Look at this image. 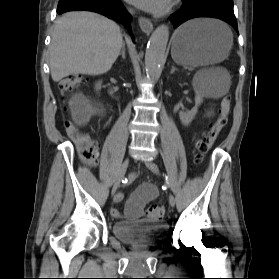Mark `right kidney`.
Segmentation results:
<instances>
[{
  "label": "right kidney",
  "mask_w": 279,
  "mask_h": 279,
  "mask_svg": "<svg viewBox=\"0 0 279 279\" xmlns=\"http://www.w3.org/2000/svg\"><path fill=\"white\" fill-rule=\"evenodd\" d=\"M101 84H102V81H98L96 84H95V90L98 92L101 90Z\"/></svg>",
  "instance_id": "1"
}]
</instances>
